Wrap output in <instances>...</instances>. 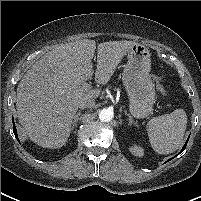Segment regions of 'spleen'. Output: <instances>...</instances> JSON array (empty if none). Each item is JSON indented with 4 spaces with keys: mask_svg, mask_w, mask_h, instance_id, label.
I'll use <instances>...</instances> for the list:
<instances>
[{
    "mask_svg": "<svg viewBox=\"0 0 201 201\" xmlns=\"http://www.w3.org/2000/svg\"><path fill=\"white\" fill-rule=\"evenodd\" d=\"M187 115L183 109L152 118L147 124L150 144L155 152L169 154L179 149L186 130Z\"/></svg>",
    "mask_w": 201,
    "mask_h": 201,
    "instance_id": "1",
    "label": "spleen"
}]
</instances>
